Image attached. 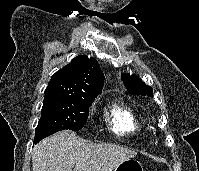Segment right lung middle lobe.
Returning a JSON list of instances; mask_svg holds the SVG:
<instances>
[{"label":"right lung middle lobe","instance_id":"dd1d6c3e","mask_svg":"<svg viewBox=\"0 0 199 171\" xmlns=\"http://www.w3.org/2000/svg\"><path fill=\"white\" fill-rule=\"evenodd\" d=\"M94 99H72L45 93L35 137L65 129L79 131L86 124Z\"/></svg>","mask_w":199,"mask_h":171}]
</instances>
